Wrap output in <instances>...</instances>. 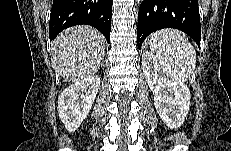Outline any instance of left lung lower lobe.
<instances>
[{"mask_svg": "<svg viewBox=\"0 0 231 151\" xmlns=\"http://www.w3.org/2000/svg\"><path fill=\"white\" fill-rule=\"evenodd\" d=\"M163 28L183 31L200 47L201 23L198 0H144L138 14V48L149 34Z\"/></svg>", "mask_w": 231, "mask_h": 151, "instance_id": "obj_1", "label": "left lung lower lobe"}]
</instances>
